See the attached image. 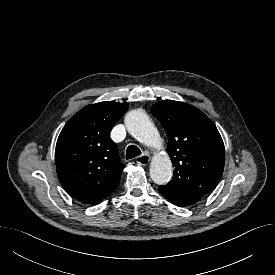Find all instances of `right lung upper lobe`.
<instances>
[{"label": "right lung upper lobe", "instance_id": "cb5924a9", "mask_svg": "<svg viewBox=\"0 0 275 275\" xmlns=\"http://www.w3.org/2000/svg\"><path fill=\"white\" fill-rule=\"evenodd\" d=\"M128 107L111 101L88 105L62 129L55 150L57 175L76 200L97 203L118 186L125 165L109 132Z\"/></svg>", "mask_w": 275, "mask_h": 275}]
</instances>
